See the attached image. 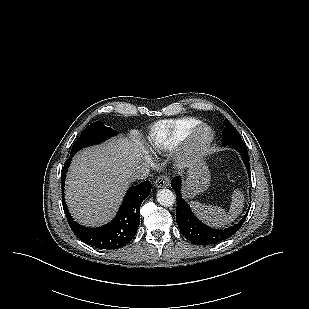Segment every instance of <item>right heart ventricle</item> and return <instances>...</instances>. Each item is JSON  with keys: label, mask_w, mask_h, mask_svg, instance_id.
I'll use <instances>...</instances> for the list:
<instances>
[{"label": "right heart ventricle", "mask_w": 309, "mask_h": 309, "mask_svg": "<svg viewBox=\"0 0 309 309\" xmlns=\"http://www.w3.org/2000/svg\"><path fill=\"white\" fill-rule=\"evenodd\" d=\"M201 122L194 118L163 120L151 126L147 146L153 152H167L184 142Z\"/></svg>", "instance_id": "right-heart-ventricle-1"}]
</instances>
